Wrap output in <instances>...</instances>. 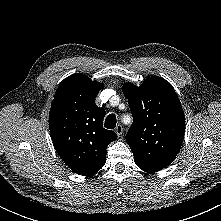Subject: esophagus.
Segmentation results:
<instances>
[{
	"label": "esophagus",
	"instance_id": "34e87169",
	"mask_svg": "<svg viewBox=\"0 0 221 221\" xmlns=\"http://www.w3.org/2000/svg\"><path fill=\"white\" fill-rule=\"evenodd\" d=\"M115 132H116V134H117L118 136H121V135H122V132H123V127H122V125L116 126Z\"/></svg>",
	"mask_w": 221,
	"mask_h": 221
}]
</instances>
